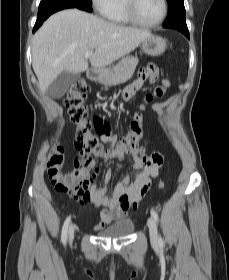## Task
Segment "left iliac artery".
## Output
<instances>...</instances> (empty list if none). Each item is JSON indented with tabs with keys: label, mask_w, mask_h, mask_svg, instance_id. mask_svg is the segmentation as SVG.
<instances>
[{
	"label": "left iliac artery",
	"mask_w": 229,
	"mask_h": 280,
	"mask_svg": "<svg viewBox=\"0 0 229 280\" xmlns=\"http://www.w3.org/2000/svg\"><path fill=\"white\" fill-rule=\"evenodd\" d=\"M151 215L156 221H158L159 217H158L157 212L154 209H151ZM158 242H159L160 245H163V239H162L161 236L159 237Z\"/></svg>",
	"instance_id": "left-iliac-artery-1"
}]
</instances>
